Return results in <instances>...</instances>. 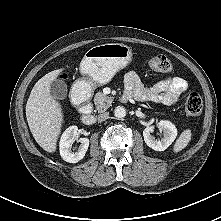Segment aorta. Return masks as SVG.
Returning a JSON list of instances; mask_svg holds the SVG:
<instances>
[{"label":"aorta","instance_id":"1","mask_svg":"<svg viewBox=\"0 0 221 221\" xmlns=\"http://www.w3.org/2000/svg\"><path fill=\"white\" fill-rule=\"evenodd\" d=\"M114 115L117 118H124L126 116V109L122 106H117L114 110Z\"/></svg>","mask_w":221,"mask_h":221}]
</instances>
